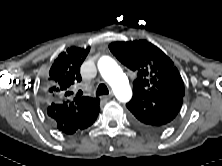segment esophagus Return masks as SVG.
I'll list each match as a JSON object with an SVG mask.
<instances>
[{"label": "esophagus", "instance_id": "1", "mask_svg": "<svg viewBox=\"0 0 222 166\" xmlns=\"http://www.w3.org/2000/svg\"><path fill=\"white\" fill-rule=\"evenodd\" d=\"M111 97H112V94L111 95H104L101 98L104 99V100H110Z\"/></svg>", "mask_w": 222, "mask_h": 166}]
</instances>
